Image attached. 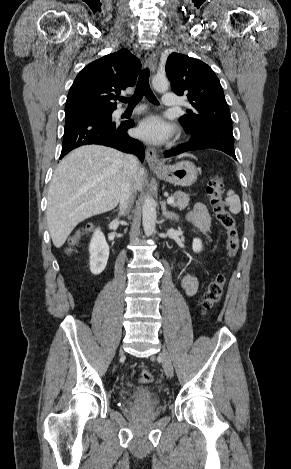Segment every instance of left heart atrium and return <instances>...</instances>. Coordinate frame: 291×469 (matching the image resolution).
<instances>
[{"mask_svg": "<svg viewBox=\"0 0 291 469\" xmlns=\"http://www.w3.org/2000/svg\"><path fill=\"white\" fill-rule=\"evenodd\" d=\"M137 133L141 139L147 142L160 144L170 138L173 127L160 116L152 115L140 123Z\"/></svg>", "mask_w": 291, "mask_h": 469, "instance_id": "39dd6f15", "label": "left heart atrium"}]
</instances>
